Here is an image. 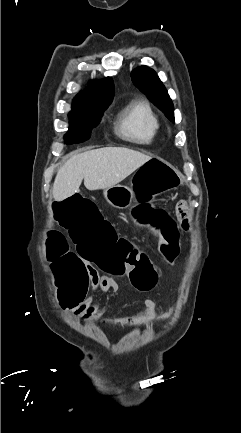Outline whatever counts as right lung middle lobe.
<instances>
[{
  "mask_svg": "<svg viewBox=\"0 0 241 433\" xmlns=\"http://www.w3.org/2000/svg\"><path fill=\"white\" fill-rule=\"evenodd\" d=\"M108 106L74 104L72 111L69 113L70 127L64 137L65 142L73 144L89 139L92 128L98 125L103 111Z\"/></svg>",
  "mask_w": 241,
  "mask_h": 433,
  "instance_id": "dd1d6c3e",
  "label": "right lung middle lobe"
}]
</instances>
